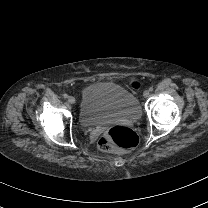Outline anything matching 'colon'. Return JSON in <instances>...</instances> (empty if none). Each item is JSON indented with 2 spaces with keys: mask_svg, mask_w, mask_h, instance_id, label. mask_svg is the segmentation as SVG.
I'll return each mask as SVG.
<instances>
[{
  "mask_svg": "<svg viewBox=\"0 0 208 208\" xmlns=\"http://www.w3.org/2000/svg\"><path fill=\"white\" fill-rule=\"evenodd\" d=\"M129 87L136 89L140 87L138 81H130ZM135 134L128 128L115 126L109 129L99 140V148L104 152L128 149L135 144Z\"/></svg>",
  "mask_w": 208,
  "mask_h": 208,
  "instance_id": "1",
  "label": "colon"
}]
</instances>
